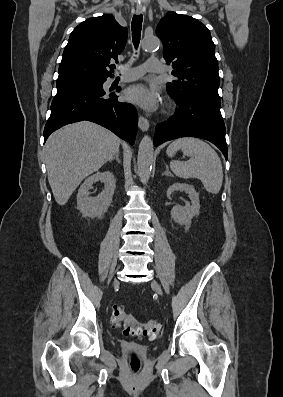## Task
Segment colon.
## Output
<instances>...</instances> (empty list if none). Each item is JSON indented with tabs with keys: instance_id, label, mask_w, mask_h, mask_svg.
I'll return each mask as SVG.
<instances>
[{
	"instance_id": "1",
	"label": "colon",
	"mask_w": 283,
	"mask_h": 397,
	"mask_svg": "<svg viewBox=\"0 0 283 397\" xmlns=\"http://www.w3.org/2000/svg\"><path fill=\"white\" fill-rule=\"evenodd\" d=\"M112 323L117 327H123L124 334L134 337L157 338L161 333V324L156 320H148L140 324L135 316L125 311L122 306H114L111 315ZM131 369L137 373L141 367V361L136 354L131 356Z\"/></svg>"
}]
</instances>
